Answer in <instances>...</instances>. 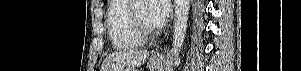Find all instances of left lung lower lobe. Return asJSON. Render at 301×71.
Returning <instances> with one entry per match:
<instances>
[{"label": "left lung lower lobe", "instance_id": "obj_1", "mask_svg": "<svg viewBox=\"0 0 301 71\" xmlns=\"http://www.w3.org/2000/svg\"><path fill=\"white\" fill-rule=\"evenodd\" d=\"M194 13H195V21L197 23V31H201L202 27V16L204 11V2L201 0H197L193 5Z\"/></svg>", "mask_w": 301, "mask_h": 71}]
</instances>
